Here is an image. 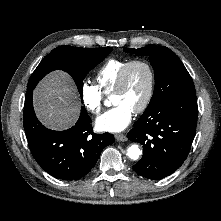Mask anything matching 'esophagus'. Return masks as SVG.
<instances>
[{
	"instance_id": "1",
	"label": "esophagus",
	"mask_w": 221,
	"mask_h": 221,
	"mask_svg": "<svg viewBox=\"0 0 221 221\" xmlns=\"http://www.w3.org/2000/svg\"><path fill=\"white\" fill-rule=\"evenodd\" d=\"M115 138L119 142H124L127 140V137L124 134H115Z\"/></svg>"
}]
</instances>
